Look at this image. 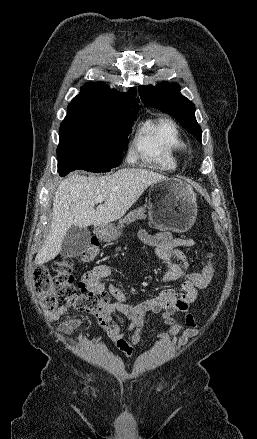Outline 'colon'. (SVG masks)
<instances>
[{
    "instance_id": "obj_1",
    "label": "colon",
    "mask_w": 257,
    "mask_h": 439,
    "mask_svg": "<svg viewBox=\"0 0 257 439\" xmlns=\"http://www.w3.org/2000/svg\"><path fill=\"white\" fill-rule=\"evenodd\" d=\"M99 244L93 241L82 253L83 261H92L99 255ZM74 262L65 257L52 265L55 274L44 266H37L33 271L34 287L39 295L43 311L52 315L58 308L59 302L76 310L99 313L110 304L111 296L106 291L93 292L76 285L72 275ZM214 275L212 255L200 271L189 272L186 279L197 288L207 286Z\"/></svg>"
}]
</instances>
